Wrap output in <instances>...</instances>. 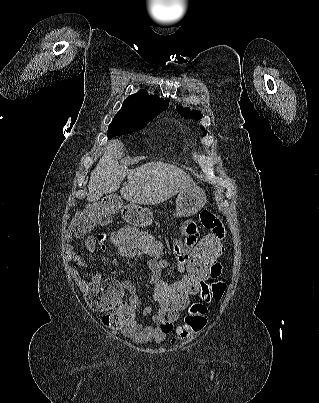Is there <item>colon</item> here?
Returning <instances> with one entry per match:
<instances>
[{
  "label": "colon",
  "mask_w": 319,
  "mask_h": 403,
  "mask_svg": "<svg viewBox=\"0 0 319 403\" xmlns=\"http://www.w3.org/2000/svg\"><path fill=\"white\" fill-rule=\"evenodd\" d=\"M88 209L78 214L71 223L72 234L76 237L85 235L97 224H107L111 217L117 216L121 209L119 192H105L104 200L87 204ZM201 223L208 229V238H199L188 251L191 260L182 268L177 282H167L166 278H155L152 282L151 304H156V313H181L183 307L191 299L197 286L204 282L201 296L195 303H190L183 320L176 326L175 341H189L191 336L205 333L209 325L212 310L211 305L217 304L227 292V282L213 283L210 268L221 264L227 251V219L220 218L215 212L203 211L200 214ZM102 235V234H100ZM109 248L120 254L121 260H146V268H171L172 260L168 259L167 240L163 234H147L141 226H115L114 234L103 237ZM94 252L95 249H88ZM163 272V269H160ZM160 276V273H157ZM101 311V309H98ZM131 310V309H130Z\"/></svg>",
  "instance_id": "obj_1"
}]
</instances>
